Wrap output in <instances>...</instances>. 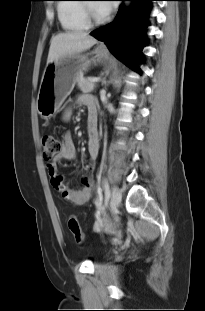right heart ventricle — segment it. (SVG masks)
<instances>
[{"instance_id": "right-heart-ventricle-1", "label": "right heart ventricle", "mask_w": 205, "mask_h": 311, "mask_svg": "<svg viewBox=\"0 0 205 311\" xmlns=\"http://www.w3.org/2000/svg\"><path fill=\"white\" fill-rule=\"evenodd\" d=\"M65 2H77L81 0H62ZM83 4L61 3L57 6L58 19L62 28L69 32H78L88 28L84 17Z\"/></svg>"}]
</instances>
